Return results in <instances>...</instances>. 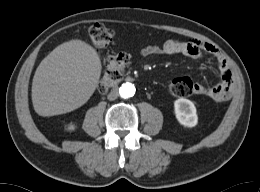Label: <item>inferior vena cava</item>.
Listing matches in <instances>:
<instances>
[{
	"mask_svg": "<svg viewBox=\"0 0 260 192\" xmlns=\"http://www.w3.org/2000/svg\"><path fill=\"white\" fill-rule=\"evenodd\" d=\"M118 96H119L118 91L114 89V90H112V91L108 94V99H109L110 101H113V100L117 99Z\"/></svg>",
	"mask_w": 260,
	"mask_h": 192,
	"instance_id": "1",
	"label": "inferior vena cava"
}]
</instances>
